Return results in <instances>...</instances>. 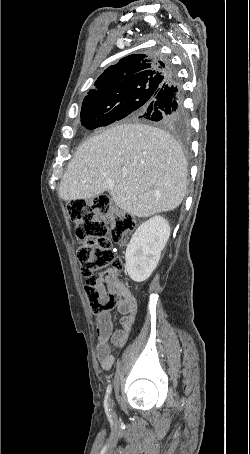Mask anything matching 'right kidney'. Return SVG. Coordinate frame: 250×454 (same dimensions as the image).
Here are the masks:
<instances>
[{
    "label": "right kidney",
    "mask_w": 250,
    "mask_h": 454,
    "mask_svg": "<svg viewBox=\"0 0 250 454\" xmlns=\"http://www.w3.org/2000/svg\"><path fill=\"white\" fill-rule=\"evenodd\" d=\"M169 236L170 225L162 216H155L138 227L125 254L126 270L133 281L143 282L152 274Z\"/></svg>",
    "instance_id": "1"
}]
</instances>
